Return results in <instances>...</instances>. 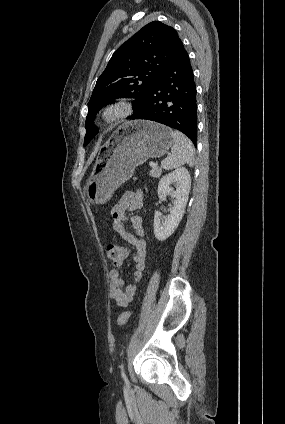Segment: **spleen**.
<instances>
[{"mask_svg":"<svg viewBox=\"0 0 285 424\" xmlns=\"http://www.w3.org/2000/svg\"><path fill=\"white\" fill-rule=\"evenodd\" d=\"M174 144L171 148V155L161 163L164 169L170 170L184 164L193 166L195 149L188 137L179 131L173 132Z\"/></svg>","mask_w":285,"mask_h":424,"instance_id":"3e777b00","label":"spleen"}]
</instances>
